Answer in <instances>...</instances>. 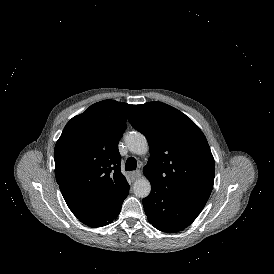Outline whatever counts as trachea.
<instances>
[{
	"mask_svg": "<svg viewBox=\"0 0 274 274\" xmlns=\"http://www.w3.org/2000/svg\"><path fill=\"white\" fill-rule=\"evenodd\" d=\"M137 167V161L134 157H130L127 159L126 164H125V170L126 171H132L136 169Z\"/></svg>",
	"mask_w": 274,
	"mask_h": 274,
	"instance_id": "trachea-1",
	"label": "trachea"
}]
</instances>
